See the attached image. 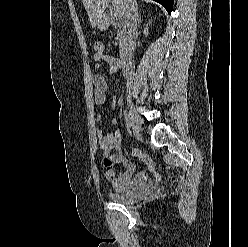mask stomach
<instances>
[{"label":"stomach","instance_id":"stomach-1","mask_svg":"<svg viewBox=\"0 0 248 247\" xmlns=\"http://www.w3.org/2000/svg\"><path fill=\"white\" fill-rule=\"evenodd\" d=\"M108 23L103 19V17L99 20L97 26L100 30H106L108 28Z\"/></svg>","mask_w":248,"mask_h":247}]
</instances>
